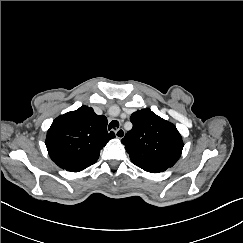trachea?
I'll use <instances>...</instances> for the list:
<instances>
[{
    "instance_id": "trachea-1",
    "label": "trachea",
    "mask_w": 243,
    "mask_h": 243,
    "mask_svg": "<svg viewBox=\"0 0 243 243\" xmlns=\"http://www.w3.org/2000/svg\"><path fill=\"white\" fill-rule=\"evenodd\" d=\"M119 127V122L117 120H113L110 122L109 126H108V129H115V128H118Z\"/></svg>"
}]
</instances>
